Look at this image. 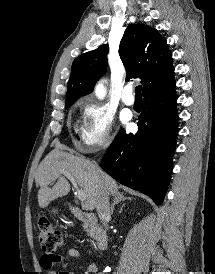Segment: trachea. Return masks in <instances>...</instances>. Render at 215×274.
<instances>
[{"instance_id":"3493384b","label":"trachea","mask_w":215,"mask_h":274,"mask_svg":"<svg viewBox=\"0 0 215 274\" xmlns=\"http://www.w3.org/2000/svg\"><path fill=\"white\" fill-rule=\"evenodd\" d=\"M141 89H142V86L141 85H138L136 86L135 88V93H136V97H141Z\"/></svg>"}]
</instances>
